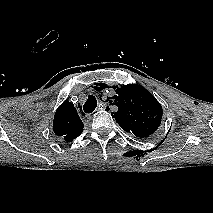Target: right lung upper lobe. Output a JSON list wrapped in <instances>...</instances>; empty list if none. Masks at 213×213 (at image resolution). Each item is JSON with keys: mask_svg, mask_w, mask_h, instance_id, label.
Listing matches in <instances>:
<instances>
[{"mask_svg": "<svg viewBox=\"0 0 213 213\" xmlns=\"http://www.w3.org/2000/svg\"><path fill=\"white\" fill-rule=\"evenodd\" d=\"M53 131L62 142H71L83 131V123L76 108L69 101H64L56 110Z\"/></svg>", "mask_w": 213, "mask_h": 213, "instance_id": "1", "label": "right lung upper lobe"}]
</instances>
